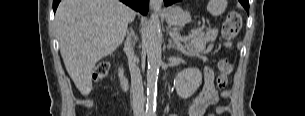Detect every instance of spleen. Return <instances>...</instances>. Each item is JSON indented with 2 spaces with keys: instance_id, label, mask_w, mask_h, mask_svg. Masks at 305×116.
I'll return each mask as SVG.
<instances>
[{
  "instance_id": "obj_1",
  "label": "spleen",
  "mask_w": 305,
  "mask_h": 116,
  "mask_svg": "<svg viewBox=\"0 0 305 116\" xmlns=\"http://www.w3.org/2000/svg\"><path fill=\"white\" fill-rule=\"evenodd\" d=\"M226 8V1L224 0H210L207 5V10L213 16L221 15Z\"/></svg>"
}]
</instances>
